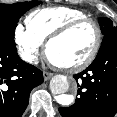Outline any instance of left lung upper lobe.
Here are the masks:
<instances>
[{"label": "left lung upper lobe", "mask_w": 117, "mask_h": 117, "mask_svg": "<svg viewBox=\"0 0 117 117\" xmlns=\"http://www.w3.org/2000/svg\"><path fill=\"white\" fill-rule=\"evenodd\" d=\"M101 32L104 35L99 52L104 50L108 45L117 40V26L113 25V22L109 18L98 19Z\"/></svg>", "instance_id": "5c2ea615"}]
</instances>
